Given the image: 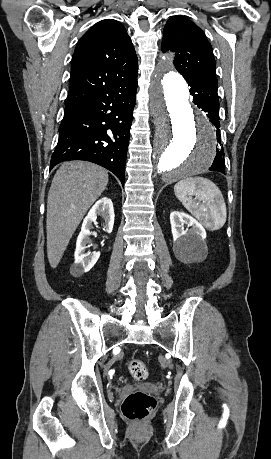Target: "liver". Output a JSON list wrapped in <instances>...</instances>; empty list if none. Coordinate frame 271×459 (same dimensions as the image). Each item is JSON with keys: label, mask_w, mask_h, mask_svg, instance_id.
<instances>
[{"label": "liver", "mask_w": 271, "mask_h": 459, "mask_svg": "<svg viewBox=\"0 0 271 459\" xmlns=\"http://www.w3.org/2000/svg\"><path fill=\"white\" fill-rule=\"evenodd\" d=\"M108 184L107 170L91 162H64L47 202V257L57 267L74 231Z\"/></svg>", "instance_id": "liver-1"}]
</instances>
